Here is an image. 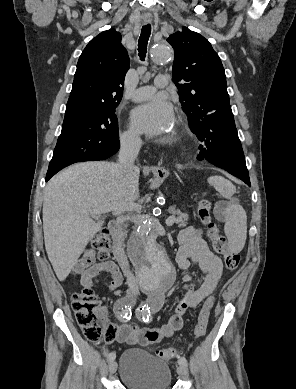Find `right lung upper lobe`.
I'll use <instances>...</instances> for the list:
<instances>
[{
    "instance_id": "1",
    "label": "right lung upper lobe",
    "mask_w": 296,
    "mask_h": 389,
    "mask_svg": "<svg viewBox=\"0 0 296 389\" xmlns=\"http://www.w3.org/2000/svg\"><path fill=\"white\" fill-rule=\"evenodd\" d=\"M129 57L114 29L93 38L77 63L65 118L116 107L122 99Z\"/></svg>"
}]
</instances>
